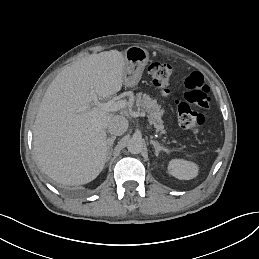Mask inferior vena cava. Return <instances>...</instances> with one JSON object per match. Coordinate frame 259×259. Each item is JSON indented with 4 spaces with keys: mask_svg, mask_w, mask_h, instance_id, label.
<instances>
[{
    "mask_svg": "<svg viewBox=\"0 0 259 259\" xmlns=\"http://www.w3.org/2000/svg\"><path fill=\"white\" fill-rule=\"evenodd\" d=\"M127 129L128 120L122 115L114 116L108 125V131L113 136L123 135Z\"/></svg>",
    "mask_w": 259,
    "mask_h": 259,
    "instance_id": "1",
    "label": "inferior vena cava"
}]
</instances>
